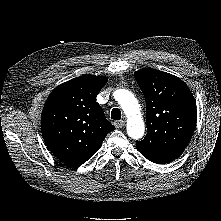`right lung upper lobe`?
<instances>
[{
    "label": "right lung upper lobe",
    "instance_id": "1",
    "mask_svg": "<svg viewBox=\"0 0 221 221\" xmlns=\"http://www.w3.org/2000/svg\"><path fill=\"white\" fill-rule=\"evenodd\" d=\"M107 80L85 74L59 85L46 100L42 135L49 150L67 165L85 163L115 129L96 102Z\"/></svg>",
    "mask_w": 221,
    "mask_h": 221
}]
</instances>
